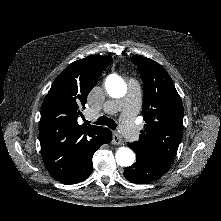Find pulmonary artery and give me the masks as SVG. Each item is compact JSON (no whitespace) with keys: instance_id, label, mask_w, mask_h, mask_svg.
Returning a JSON list of instances; mask_svg holds the SVG:
<instances>
[{"instance_id":"obj_1","label":"pulmonary artery","mask_w":221,"mask_h":221,"mask_svg":"<svg viewBox=\"0 0 221 221\" xmlns=\"http://www.w3.org/2000/svg\"><path fill=\"white\" fill-rule=\"evenodd\" d=\"M139 103V94L134 86L129 83L126 99L109 101L104 105V110L108 113L122 111L120 131L131 141H135L138 137L135 116L138 111Z\"/></svg>"}]
</instances>
